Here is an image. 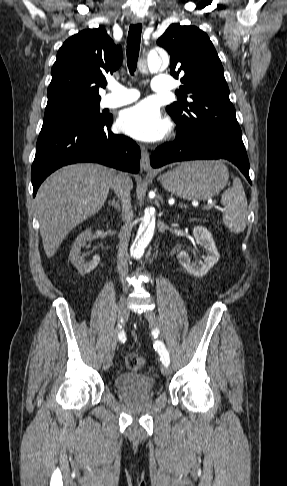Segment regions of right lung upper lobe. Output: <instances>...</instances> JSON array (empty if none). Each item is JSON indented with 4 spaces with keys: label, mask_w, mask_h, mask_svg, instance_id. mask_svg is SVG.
Listing matches in <instances>:
<instances>
[{
    "label": "right lung upper lobe",
    "mask_w": 287,
    "mask_h": 486,
    "mask_svg": "<svg viewBox=\"0 0 287 486\" xmlns=\"http://www.w3.org/2000/svg\"><path fill=\"white\" fill-rule=\"evenodd\" d=\"M122 56L121 46L114 44L103 27L71 36L59 49L52 67L46 107L100 100L99 87L107 83V73L120 67Z\"/></svg>",
    "instance_id": "right-lung-upper-lobe-1"
}]
</instances>
